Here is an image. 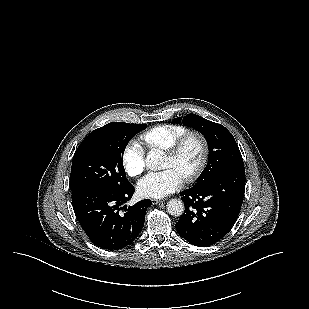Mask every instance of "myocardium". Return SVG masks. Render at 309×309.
Masks as SVG:
<instances>
[{
    "label": "myocardium",
    "mask_w": 309,
    "mask_h": 309,
    "mask_svg": "<svg viewBox=\"0 0 309 309\" xmlns=\"http://www.w3.org/2000/svg\"><path fill=\"white\" fill-rule=\"evenodd\" d=\"M191 138H196L199 140L202 148V155L197 167L183 178L185 182H193L194 180H196L207 166L210 155V148L206 136L196 130L187 131L186 133L181 135L167 150H165L166 155L171 158H176L180 154L184 145Z\"/></svg>",
    "instance_id": "f54148a6"
}]
</instances>
